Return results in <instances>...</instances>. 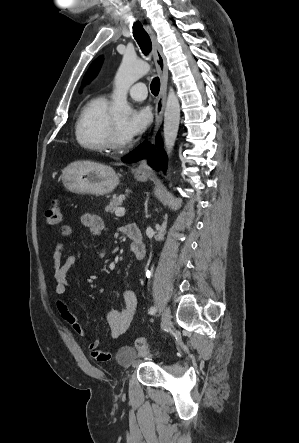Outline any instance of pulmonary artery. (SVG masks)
<instances>
[{
	"instance_id": "e3ab8cb5",
	"label": "pulmonary artery",
	"mask_w": 299,
	"mask_h": 443,
	"mask_svg": "<svg viewBox=\"0 0 299 443\" xmlns=\"http://www.w3.org/2000/svg\"><path fill=\"white\" fill-rule=\"evenodd\" d=\"M129 96L136 100V101H142L147 96V88L144 83H136L134 84L128 91Z\"/></svg>"
}]
</instances>
